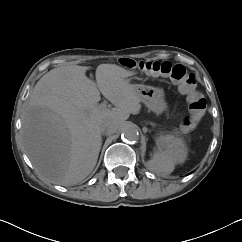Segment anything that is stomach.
<instances>
[{
  "instance_id": "stomach-1",
  "label": "stomach",
  "mask_w": 242,
  "mask_h": 242,
  "mask_svg": "<svg viewBox=\"0 0 242 242\" xmlns=\"http://www.w3.org/2000/svg\"><path fill=\"white\" fill-rule=\"evenodd\" d=\"M136 91L143 102L151 111L161 114L167 109L164 99V90L162 88L137 85ZM156 145L160 151L173 152L179 154L182 158L186 157L187 150L184 142L177 140L172 135H158L155 138Z\"/></svg>"
}]
</instances>
